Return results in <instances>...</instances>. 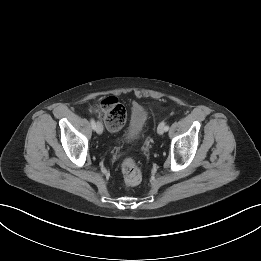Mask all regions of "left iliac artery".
Listing matches in <instances>:
<instances>
[{"mask_svg":"<svg viewBox=\"0 0 261 261\" xmlns=\"http://www.w3.org/2000/svg\"><path fill=\"white\" fill-rule=\"evenodd\" d=\"M168 130H169V126L166 125V127H165V131H168Z\"/></svg>","mask_w":261,"mask_h":261,"instance_id":"1","label":"left iliac artery"}]
</instances>
